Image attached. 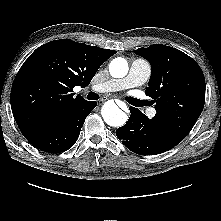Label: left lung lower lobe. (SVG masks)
I'll list each match as a JSON object with an SVG mask.
<instances>
[{"label":"left lung lower lobe","mask_w":221,"mask_h":221,"mask_svg":"<svg viewBox=\"0 0 221 221\" xmlns=\"http://www.w3.org/2000/svg\"><path fill=\"white\" fill-rule=\"evenodd\" d=\"M126 125L116 130L117 137L132 152L140 155H155L170 150L175 142L167 130L155 119H149L132 106Z\"/></svg>","instance_id":"left-lung-lower-lobe-1"}]
</instances>
